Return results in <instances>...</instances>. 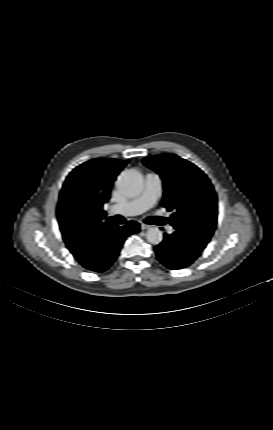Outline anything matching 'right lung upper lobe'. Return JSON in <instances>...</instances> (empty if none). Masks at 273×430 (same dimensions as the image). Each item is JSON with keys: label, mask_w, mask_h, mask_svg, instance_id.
Masks as SVG:
<instances>
[{"label": "right lung upper lobe", "mask_w": 273, "mask_h": 430, "mask_svg": "<svg viewBox=\"0 0 273 430\" xmlns=\"http://www.w3.org/2000/svg\"><path fill=\"white\" fill-rule=\"evenodd\" d=\"M128 161L93 159L76 167L66 178L59 196L57 215L66 246L75 258L88 251L97 228L114 223L106 217L103 204L110 198L116 176ZM79 206L81 223L73 224L70 215Z\"/></svg>", "instance_id": "obj_1"}]
</instances>
